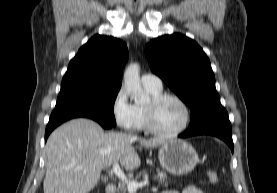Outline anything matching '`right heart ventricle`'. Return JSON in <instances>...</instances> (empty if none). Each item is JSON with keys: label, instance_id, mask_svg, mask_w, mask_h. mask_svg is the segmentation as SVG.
Masks as SVG:
<instances>
[{"label": "right heart ventricle", "instance_id": "e07e8e85", "mask_svg": "<svg viewBox=\"0 0 277 193\" xmlns=\"http://www.w3.org/2000/svg\"><path fill=\"white\" fill-rule=\"evenodd\" d=\"M146 90L150 93L151 96H155L161 93V90H152V89H147ZM136 112L138 115V120H139V125L138 129H146V118H145V113H144V107L142 106H136Z\"/></svg>", "mask_w": 277, "mask_h": 193}]
</instances>
